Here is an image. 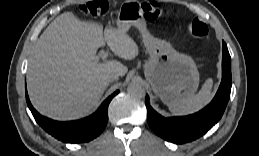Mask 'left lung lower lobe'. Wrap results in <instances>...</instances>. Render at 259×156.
Segmentation results:
<instances>
[{
  "label": "left lung lower lobe",
  "instance_id": "left-lung-lower-lobe-1",
  "mask_svg": "<svg viewBox=\"0 0 259 156\" xmlns=\"http://www.w3.org/2000/svg\"><path fill=\"white\" fill-rule=\"evenodd\" d=\"M231 58L223 41L222 81L212 102L201 111L183 117L165 118L149 105L146 96L147 120L152 130L163 139L176 144L187 143L204 135L222 117L231 92Z\"/></svg>",
  "mask_w": 259,
  "mask_h": 156
}]
</instances>
